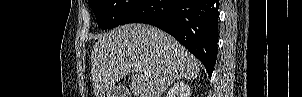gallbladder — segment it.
Segmentation results:
<instances>
[{"label": "gallbladder", "instance_id": "bac80fb5", "mask_svg": "<svg viewBox=\"0 0 302 97\" xmlns=\"http://www.w3.org/2000/svg\"><path fill=\"white\" fill-rule=\"evenodd\" d=\"M127 94H129V91L125 86H114L108 92L107 97H125Z\"/></svg>", "mask_w": 302, "mask_h": 97}]
</instances>
